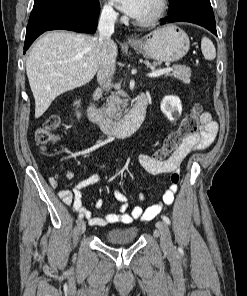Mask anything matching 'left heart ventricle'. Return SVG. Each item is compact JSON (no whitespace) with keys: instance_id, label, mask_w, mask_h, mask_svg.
I'll return each instance as SVG.
<instances>
[{"instance_id":"obj_1","label":"left heart ventricle","mask_w":247,"mask_h":296,"mask_svg":"<svg viewBox=\"0 0 247 296\" xmlns=\"http://www.w3.org/2000/svg\"><path fill=\"white\" fill-rule=\"evenodd\" d=\"M155 10V0H148L144 12L137 19H146L150 17Z\"/></svg>"}]
</instances>
